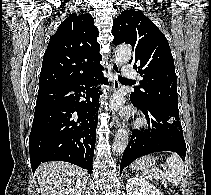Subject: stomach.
<instances>
[{
  "instance_id": "obj_1",
  "label": "stomach",
  "mask_w": 211,
  "mask_h": 195,
  "mask_svg": "<svg viewBox=\"0 0 211 195\" xmlns=\"http://www.w3.org/2000/svg\"><path fill=\"white\" fill-rule=\"evenodd\" d=\"M155 163L156 159L151 155H147L136 160L133 163L132 168L134 170L148 171L154 169Z\"/></svg>"
}]
</instances>
